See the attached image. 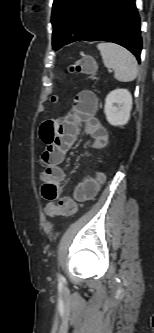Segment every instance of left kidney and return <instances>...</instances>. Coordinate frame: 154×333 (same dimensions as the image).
Wrapping results in <instances>:
<instances>
[{"label": "left kidney", "instance_id": "left-kidney-1", "mask_svg": "<svg viewBox=\"0 0 154 333\" xmlns=\"http://www.w3.org/2000/svg\"><path fill=\"white\" fill-rule=\"evenodd\" d=\"M132 95L126 89L111 91L106 99L104 113L107 121L113 126H123L130 119Z\"/></svg>", "mask_w": 154, "mask_h": 333}]
</instances>
